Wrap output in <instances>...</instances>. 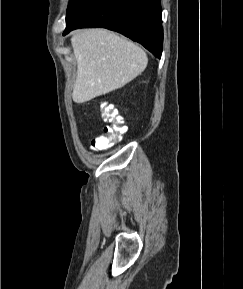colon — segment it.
Returning <instances> with one entry per match:
<instances>
[{
    "instance_id": "colon-1",
    "label": "colon",
    "mask_w": 243,
    "mask_h": 289,
    "mask_svg": "<svg viewBox=\"0 0 243 289\" xmlns=\"http://www.w3.org/2000/svg\"><path fill=\"white\" fill-rule=\"evenodd\" d=\"M101 116L103 120L110 123L101 134L92 140L91 148L93 150L108 149L113 146L128 130L124 118L118 110L107 102H101Z\"/></svg>"
}]
</instances>
